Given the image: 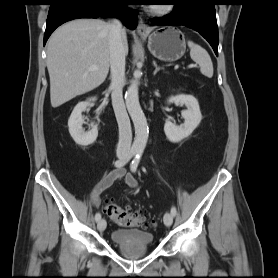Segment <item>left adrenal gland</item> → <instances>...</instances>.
I'll return each instance as SVG.
<instances>
[{"mask_svg": "<svg viewBox=\"0 0 278 278\" xmlns=\"http://www.w3.org/2000/svg\"><path fill=\"white\" fill-rule=\"evenodd\" d=\"M153 65L155 67L153 75H156L159 70L163 69L162 67H158L155 61H153Z\"/></svg>", "mask_w": 278, "mask_h": 278, "instance_id": "obj_1", "label": "left adrenal gland"}]
</instances>
